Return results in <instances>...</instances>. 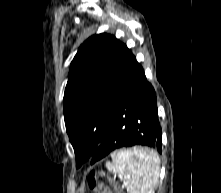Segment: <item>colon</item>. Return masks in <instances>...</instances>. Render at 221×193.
Listing matches in <instances>:
<instances>
[{"label":"colon","instance_id":"obj_1","mask_svg":"<svg viewBox=\"0 0 221 193\" xmlns=\"http://www.w3.org/2000/svg\"><path fill=\"white\" fill-rule=\"evenodd\" d=\"M88 186H89L90 190H92L96 193H103V185L99 183L95 173H92L89 176Z\"/></svg>","mask_w":221,"mask_h":193}]
</instances>
